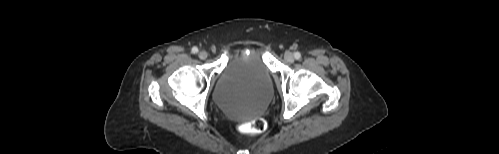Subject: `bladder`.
<instances>
[{
	"label": "bladder",
	"instance_id": "bladder-1",
	"mask_svg": "<svg viewBox=\"0 0 499 154\" xmlns=\"http://www.w3.org/2000/svg\"><path fill=\"white\" fill-rule=\"evenodd\" d=\"M273 92L272 74L262 50L244 47L229 58L216 82L213 98L226 113L246 117L262 112Z\"/></svg>",
	"mask_w": 499,
	"mask_h": 154
}]
</instances>
